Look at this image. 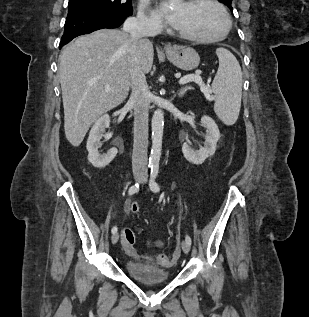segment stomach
I'll return each mask as SVG.
<instances>
[{"mask_svg":"<svg viewBox=\"0 0 309 317\" xmlns=\"http://www.w3.org/2000/svg\"><path fill=\"white\" fill-rule=\"evenodd\" d=\"M166 55L170 62L185 71L195 69L200 63L198 53L190 47H173L166 51Z\"/></svg>","mask_w":309,"mask_h":317,"instance_id":"stomach-1","label":"stomach"}]
</instances>
